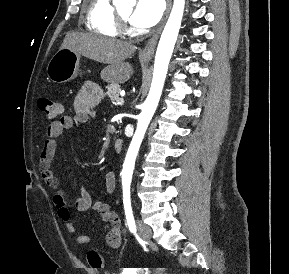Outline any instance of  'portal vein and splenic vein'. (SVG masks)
Returning a JSON list of instances; mask_svg holds the SVG:
<instances>
[{
	"label": "portal vein and splenic vein",
	"instance_id": "obj_1",
	"mask_svg": "<svg viewBox=\"0 0 289 274\" xmlns=\"http://www.w3.org/2000/svg\"><path fill=\"white\" fill-rule=\"evenodd\" d=\"M123 103H124V99L123 98H118L116 100V104H118V105H122Z\"/></svg>",
	"mask_w": 289,
	"mask_h": 274
}]
</instances>
